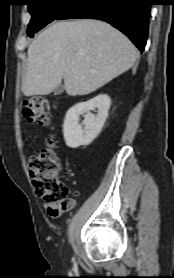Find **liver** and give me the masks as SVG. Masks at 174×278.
Instances as JSON below:
<instances>
[{"instance_id":"liver-1","label":"liver","mask_w":174,"mask_h":278,"mask_svg":"<svg viewBox=\"0 0 174 278\" xmlns=\"http://www.w3.org/2000/svg\"><path fill=\"white\" fill-rule=\"evenodd\" d=\"M137 56L132 42L103 21L55 22L28 48L22 91L48 95L64 79L68 95H86L129 70Z\"/></svg>"}]
</instances>
